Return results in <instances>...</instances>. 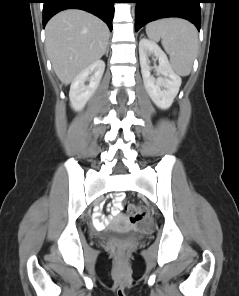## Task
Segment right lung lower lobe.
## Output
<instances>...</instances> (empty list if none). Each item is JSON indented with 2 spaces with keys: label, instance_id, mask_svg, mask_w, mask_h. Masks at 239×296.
<instances>
[{
  "label": "right lung lower lobe",
  "instance_id": "1",
  "mask_svg": "<svg viewBox=\"0 0 239 296\" xmlns=\"http://www.w3.org/2000/svg\"><path fill=\"white\" fill-rule=\"evenodd\" d=\"M42 2L44 3L43 27L57 12L68 8H78L98 16L112 30L113 4L117 0H42Z\"/></svg>",
  "mask_w": 239,
  "mask_h": 296
}]
</instances>
